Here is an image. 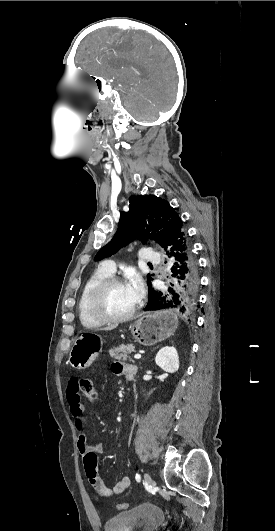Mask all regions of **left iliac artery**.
<instances>
[{"label": "left iliac artery", "instance_id": "obj_1", "mask_svg": "<svg viewBox=\"0 0 275 531\" xmlns=\"http://www.w3.org/2000/svg\"><path fill=\"white\" fill-rule=\"evenodd\" d=\"M135 478H136V481H137V482H140V480H141V476H140L139 474H136V477H135Z\"/></svg>", "mask_w": 275, "mask_h": 531}]
</instances>
